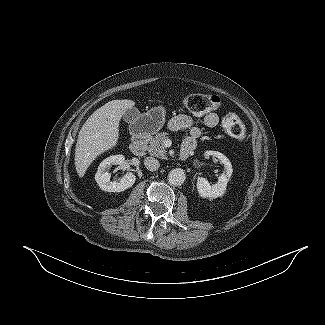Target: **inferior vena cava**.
I'll return each mask as SVG.
<instances>
[{
    "label": "inferior vena cava",
    "instance_id": "obj_1",
    "mask_svg": "<svg viewBox=\"0 0 325 325\" xmlns=\"http://www.w3.org/2000/svg\"><path fill=\"white\" fill-rule=\"evenodd\" d=\"M144 165L150 171H156L160 166L159 161L153 157L145 158Z\"/></svg>",
    "mask_w": 325,
    "mask_h": 325
}]
</instances>
